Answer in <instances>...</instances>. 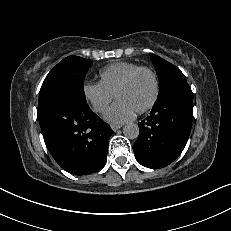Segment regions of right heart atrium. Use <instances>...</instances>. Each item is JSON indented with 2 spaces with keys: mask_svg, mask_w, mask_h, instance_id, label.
<instances>
[{
  "mask_svg": "<svg viewBox=\"0 0 231 231\" xmlns=\"http://www.w3.org/2000/svg\"><path fill=\"white\" fill-rule=\"evenodd\" d=\"M82 91L86 101L97 113H103L114 98V93L101 82H85Z\"/></svg>",
  "mask_w": 231,
  "mask_h": 231,
  "instance_id": "right-heart-atrium-1",
  "label": "right heart atrium"
}]
</instances>
